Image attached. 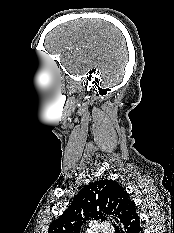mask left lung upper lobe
Segmentation results:
<instances>
[{"mask_svg": "<svg viewBox=\"0 0 174 233\" xmlns=\"http://www.w3.org/2000/svg\"><path fill=\"white\" fill-rule=\"evenodd\" d=\"M136 207L126 190L113 180H100L84 186L64 213L49 226L48 233H80L89 220H106L115 215L124 222Z\"/></svg>", "mask_w": 174, "mask_h": 233, "instance_id": "1", "label": "left lung upper lobe"}]
</instances>
